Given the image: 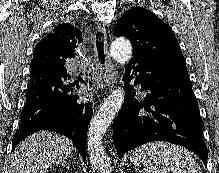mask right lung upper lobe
Returning <instances> with one entry per match:
<instances>
[{"instance_id":"cb5924a9","label":"right lung upper lobe","mask_w":219,"mask_h":173,"mask_svg":"<svg viewBox=\"0 0 219 173\" xmlns=\"http://www.w3.org/2000/svg\"><path fill=\"white\" fill-rule=\"evenodd\" d=\"M76 39L82 40L79 29L71 24H60L54 33L43 38L34 48L31 68L42 63L64 64L66 58L74 56Z\"/></svg>"}]
</instances>
